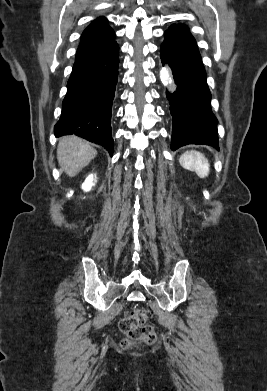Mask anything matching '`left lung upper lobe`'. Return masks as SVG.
Segmentation results:
<instances>
[{
  "label": "left lung upper lobe",
  "mask_w": 267,
  "mask_h": 391,
  "mask_svg": "<svg viewBox=\"0 0 267 391\" xmlns=\"http://www.w3.org/2000/svg\"><path fill=\"white\" fill-rule=\"evenodd\" d=\"M174 25H176V24H174ZM177 26L183 27V28H185V29H189L187 26H185V25H182V24H180V25H177Z\"/></svg>",
  "instance_id": "1"
}]
</instances>
